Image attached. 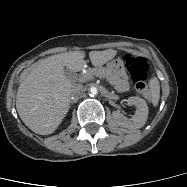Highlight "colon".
Returning a JSON list of instances; mask_svg holds the SVG:
<instances>
[{"instance_id":"obj_1","label":"colon","mask_w":187,"mask_h":187,"mask_svg":"<svg viewBox=\"0 0 187 187\" xmlns=\"http://www.w3.org/2000/svg\"><path fill=\"white\" fill-rule=\"evenodd\" d=\"M125 62L132 79L135 82V89L137 93L151 100V93L146 82L148 65L145 58L141 56L127 54Z\"/></svg>"}]
</instances>
